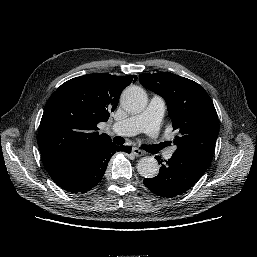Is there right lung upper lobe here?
<instances>
[{
	"label": "right lung upper lobe",
	"instance_id": "1",
	"mask_svg": "<svg viewBox=\"0 0 257 257\" xmlns=\"http://www.w3.org/2000/svg\"><path fill=\"white\" fill-rule=\"evenodd\" d=\"M137 76L93 73L62 84L49 98L38 130L37 142L45 169L80 152L111 143L96 130L119 101L122 90Z\"/></svg>",
	"mask_w": 257,
	"mask_h": 257
}]
</instances>
